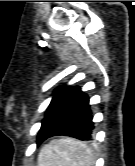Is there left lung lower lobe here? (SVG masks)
Segmentation results:
<instances>
[{
    "mask_svg": "<svg viewBox=\"0 0 135 166\" xmlns=\"http://www.w3.org/2000/svg\"><path fill=\"white\" fill-rule=\"evenodd\" d=\"M92 119L89 97L76 86L54 106L51 114L42 121L37 144L56 135L91 141L94 129Z\"/></svg>",
    "mask_w": 135,
    "mask_h": 166,
    "instance_id": "0a47b994",
    "label": "left lung lower lobe"
}]
</instances>
